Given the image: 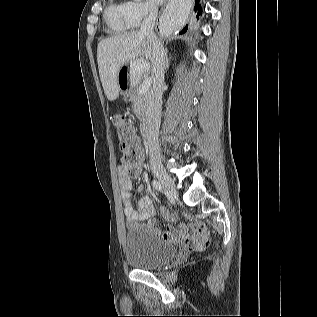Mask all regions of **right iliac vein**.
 Returning a JSON list of instances; mask_svg holds the SVG:
<instances>
[{
	"label": "right iliac vein",
	"mask_w": 317,
	"mask_h": 317,
	"mask_svg": "<svg viewBox=\"0 0 317 317\" xmlns=\"http://www.w3.org/2000/svg\"><path fill=\"white\" fill-rule=\"evenodd\" d=\"M156 178L168 189L172 196L176 197V189L173 179L163 170L155 171Z\"/></svg>",
	"instance_id": "obj_1"
}]
</instances>
